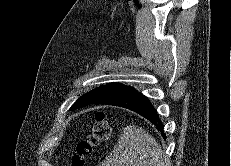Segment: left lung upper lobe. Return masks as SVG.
<instances>
[{"mask_svg": "<svg viewBox=\"0 0 231 166\" xmlns=\"http://www.w3.org/2000/svg\"><path fill=\"white\" fill-rule=\"evenodd\" d=\"M121 83H108L106 85H101L99 88H96L92 91H89L82 97H80L70 108V110H76L78 108L85 107L89 104H91L94 100L99 98L100 96L114 90L118 86H120Z\"/></svg>", "mask_w": 231, "mask_h": 166, "instance_id": "left-lung-upper-lobe-1", "label": "left lung upper lobe"}]
</instances>
